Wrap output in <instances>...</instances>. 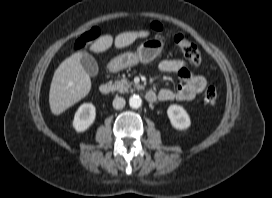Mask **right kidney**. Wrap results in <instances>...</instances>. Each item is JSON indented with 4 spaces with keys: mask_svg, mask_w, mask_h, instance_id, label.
Wrapping results in <instances>:
<instances>
[{
    "mask_svg": "<svg viewBox=\"0 0 272 198\" xmlns=\"http://www.w3.org/2000/svg\"><path fill=\"white\" fill-rule=\"evenodd\" d=\"M95 118V106L91 103H84L75 113L73 127L77 132H84L93 124Z\"/></svg>",
    "mask_w": 272,
    "mask_h": 198,
    "instance_id": "right-kidney-1",
    "label": "right kidney"
}]
</instances>
